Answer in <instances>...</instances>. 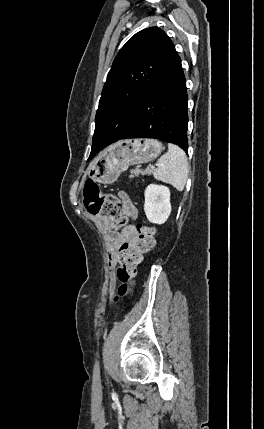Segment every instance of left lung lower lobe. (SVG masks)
<instances>
[{
  "instance_id": "left-lung-lower-lobe-1",
  "label": "left lung lower lobe",
  "mask_w": 264,
  "mask_h": 429,
  "mask_svg": "<svg viewBox=\"0 0 264 429\" xmlns=\"http://www.w3.org/2000/svg\"><path fill=\"white\" fill-rule=\"evenodd\" d=\"M187 102L181 60L172 43L159 75L143 97L136 119L122 139L155 138L174 143L187 152Z\"/></svg>"
}]
</instances>
